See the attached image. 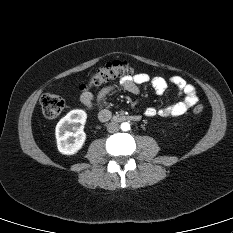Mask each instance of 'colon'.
Segmentation results:
<instances>
[{
    "instance_id": "1",
    "label": "colon",
    "mask_w": 233,
    "mask_h": 233,
    "mask_svg": "<svg viewBox=\"0 0 233 233\" xmlns=\"http://www.w3.org/2000/svg\"><path fill=\"white\" fill-rule=\"evenodd\" d=\"M132 73V68L127 62L113 61L99 68L93 73L86 85L82 89L87 90L92 87L103 85L109 81L116 80ZM43 115L48 119L57 118L64 109V101L61 97L51 93H45L40 99ZM204 110L202 104L193 108L194 114H200Z\"/></svg>"
}]
</instances>
